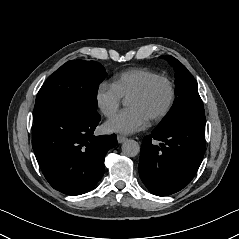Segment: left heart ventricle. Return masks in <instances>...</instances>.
Returning a JSON list of instances; mask_svg holds the SVG:
<instances>
[{
	"instance_id": "b2bd125f",
	"label": "left heart ventricle",
	"mask_w": 239,
	"mask_h": 239,
	"mask_svg": "<svg viewBox=\"0 0 239 239\" xmlns=\"http://www.w3.org/2000/svg\"><path fill=\"white\" fill-rule=\"evenodd\" d=\"M168 89L165 83H155L146 95L127 102L128 107L136 109L145 118L163 107L167 100Z\"/></svg>"
}]
</instances>
